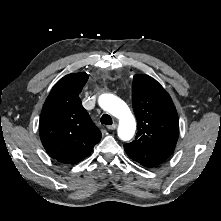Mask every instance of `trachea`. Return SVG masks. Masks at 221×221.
Wrapping results in <instances>:
<instances>
[{
  "label": "trachea",
  "mask_w": 221,
  "mask_h": 221,
  "mask_svg": "<svg viewBox=\"0 0 221 221\" xmlns=\"http://www.w3.org/2000/svg\"><path fill=\"white\" fill-rule=\"evenodd\" d=\"M100 121H101L102 124H105V125H111L112 124V118L108 114L102 115Z\"/></svg>",
  "instance_id": "1"
}]
</instances>
